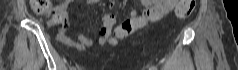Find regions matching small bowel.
Here are the masks:
<instances>
[{"instance_id":"small-bowel-1","label":"small bowel","mask_w":238,"mask_h":70,"mask_svg":"<svg viewBox=\"0 0 238 70\" xmlns=\"http://www.w3.org/2000/svg\"><path fill=\"white\" fill-rule=\"evenodd\" d=\"M180 0H143V4L146 7L144 14H139L133 10L130 14V19L118 26L112 36V30L115 25V17L113 14H105L102 17L101 25L95 30L97 35L96 40H92L79 33L77 40L69 37L63 30H59L56 34V39L70 47H74L78 50H84L87 47H91L96 43L100 45L110 44L116 46L118 39H124L128 37L132 32L141 29L148 22H155L164 16H166L173 9L176 10L177 2ZM71 0H64L56 8V12L60 15L63 21H66L67 10L71 4ZM97 0H88L87 3L94 4Z\"/></svg>"}]
</instances>
